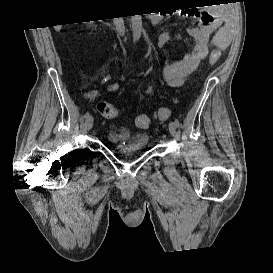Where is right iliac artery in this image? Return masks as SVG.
Listing matches in <instances>:
<instances>
[{"mask_svg": "<svg viewBox=\"0 0 273 273\" xmlns=\"http://www.w3.org/2000/svg\"><path fill=\"white\" fill-rule=\"evenodd\" d=\"M89 115H90V113L86 112L85 115H84V118H87Z\"/></svg>", "mask_w": 273, "mask_h": 273, "instance_id": "obj_1", "label": "right iliac artery"}]
</instances>
